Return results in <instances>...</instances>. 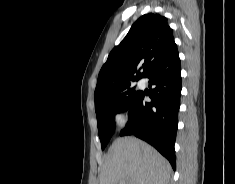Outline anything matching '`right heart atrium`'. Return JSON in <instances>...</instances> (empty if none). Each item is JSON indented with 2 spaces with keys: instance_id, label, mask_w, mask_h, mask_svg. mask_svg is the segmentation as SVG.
<instances>
[{
  "instance_id": "obj_1",
  "label": "right heart atrium",
  "mask_w": 235,
  "mask_h": 184,
  "mask_svg": "<svg viewBox=\"0 0 235 184\" xmlns=\"http://www.w3.org/2000/svg\"><path fill=\"white\" fill-rule=\"evenodd\" d=\"M127 122H128L127 111L123 108H118L113 114V124L115 130L117 131L121 130L122 128H124Z\"/></svg>"
}]
</instances>
